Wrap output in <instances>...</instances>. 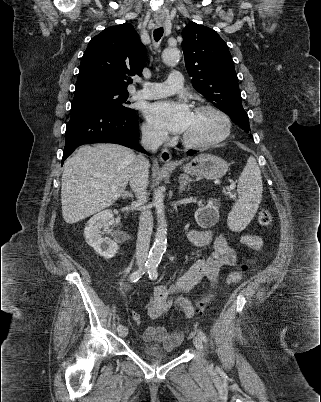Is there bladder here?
<instances>
[{"mask_svg":"<svg viewBox=\"0 0 321 402\" xmlns=\"http://www.w3.org/2000/svg\"><path fill=\"white\" fill-rule=\"evenodd\" d=\"M141 355L148 360H168L174 357L173 353H167L158 345H145L141 349Z\"/></svg>","mask_w":321,"mask_h":402,"instance_id":"1","label":"bladder"}]
</instances>
